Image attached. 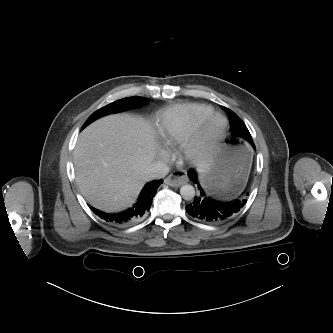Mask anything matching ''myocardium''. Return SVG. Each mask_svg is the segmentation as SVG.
Here are the masks:
<instances>
[{
  "label": "myocardium",
  "mask_w": 333,
  "mask_h": 333,
  "mask_svg": "<svg viewBox=\"0 0 333 333\" xmlns=\"http://www.w3.org/2000/svg\"><path fill=\"white\" fill-rule=\"evenodd\" d=\"M227 129L226 117L217 112L196 122L182 146L181 160L189 164L208 162L225 137Z\"/></svg>",
  "instance_id": "f54148a6"
}]
</instances>
